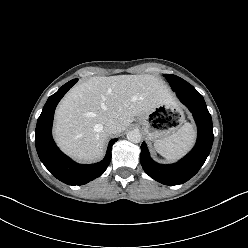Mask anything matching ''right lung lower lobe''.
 Masks as SVG:
<instances>
[{"mask_svg": "<svg viewBox=\"0 0 248 248\" xmlns=\"http://www.w3.org/2000/svg\"><path fill=\"white\" fill-rule=\"evenodd\" d=\"M78 81L73 79L50 96L38 118L35 130V145L38 156L45 167L60 181L68 185H83L101 176L111 161V148L118 139H112L105 158L91 165L77 164L63 154L52 138L54 111L64 94Z\"/></svg>", "mask_w": 248, "mask_h": 248, "instance_id": "obj_1", "label": "right lung lower lobe"}]
</instances>
